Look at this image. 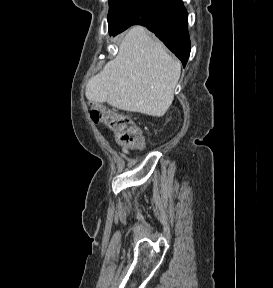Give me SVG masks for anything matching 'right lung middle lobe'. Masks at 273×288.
<instances>
[{
    "label": "right lung middle lobe",
    "instance_id": "obj_1",
    "mask_svg": "<svg viewBox=\"0 0 273 288\" xmlns=\"http://www.w3.org/2000/svg\"><path fill=\"white\" fill-rule=\"evenodd\" d=\"M137 0H109L108 26L114 27Z\"/></svg>",
    "mask_w": 273,
    "mask_h": 288
}]
</instances>
